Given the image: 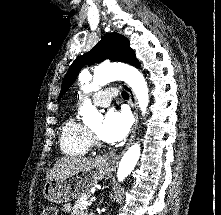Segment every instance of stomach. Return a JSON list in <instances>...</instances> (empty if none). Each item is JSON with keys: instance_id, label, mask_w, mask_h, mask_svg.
Listing matches in <instances>:
<instances>
[{"instance_id": "obj_1", "label": "stomach", "mask_w": 221, "mask_h": 215, "mask_svg": "<svg viewBox=\"0 0 221 215\" xmlns=\"http://www.w3.org/2000/svg\"><path fill=\"white\" fill-rule=\"evenodd\" d=\"M110 172V168L96 160L88 168L64 178L48 180L43 187V196L51 203H67L89 194L92 188Z\"/></svg>"}]
</instances>
